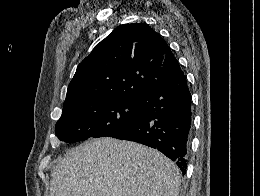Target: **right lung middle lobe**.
Returning <instances> with one entry per match:
<instances>
[{
    "label": "right lung middle lobe",
    "instance_id": "1",
    "mask_svg": "<svg viewBox=\"0 0 260 196\" xmlns=\"http://www.w3.org/2000/svg\"><path fill=\"white\" fill-rule=\"evenodd\" d=\"M144 118L138 108V99L127 95H105L63 108L55 132L59 140L74 143L110 137Z\"/></svg>",
    "mask_w": 260,
    "mask_h": 196
}]
</instances>
